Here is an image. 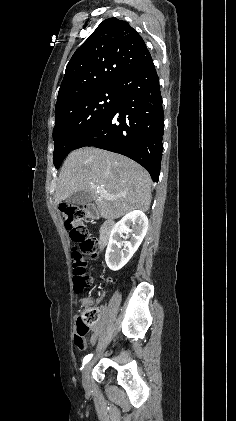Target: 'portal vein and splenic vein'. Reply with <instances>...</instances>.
Segmentation results:
<instances>
[{
	"label": "portal vein and splenic vein",
	"instance_id": "portal-vein-and-splenic-vein-1",
	"mask_svg": "<svg viewBox=\"0 0 236 421\" xmlns=\"http://www.w3.org/2000/svg\"><path fill=\"white\" fill-rule=\"evenodd\" d=\"M90 188H97V190H103L102 186H97V184H91ZM120 196H124V198H126L125 194H107L105 198H107V200H116V198H120Z\"/></svg>",
	"mask_w": 236,
	"mask_h": 421
}]
</instances>
